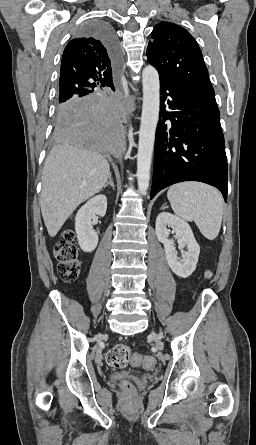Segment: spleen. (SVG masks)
Here are the masks:
<instances>
[{
	"instance_id": "3e777b00",
	"label": "spleen",
	"mask_w": 256,
	"mask_h": 445,
	"mask_svg": "<svg viewBox=\"0 0 256 445\" xmlns=\"http://www.w3.org/2000/svg\"><path fill=\"white\" fill-rule=\"evenodd\" d=\"M174 213L187 221H194L209 240L220 231L224 201L221 193L198 182H183L171 186L167 192Z\"/></svg>"
}]
</instances>
